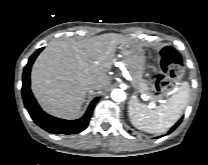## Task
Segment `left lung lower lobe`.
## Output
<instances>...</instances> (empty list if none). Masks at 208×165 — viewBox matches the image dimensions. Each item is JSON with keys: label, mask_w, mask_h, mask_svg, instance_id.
<instances>
[{"label": "left lung lower lobe", "mask_w": 208, "mask_h": 165, "mask_svg": "<svg viewBox=\"0 0 208 165\" xmlns=\"http://www.w3.org/2000/svg\"><path fill=\"white\" fill-rule=\"evenodd\" d=\"M181 121H182V119H180L171 129H170V131H169V133L170 132H172L175 128H177V126L181 123Z\"/></svg>", "instance_id": "1"}]
</instances>
